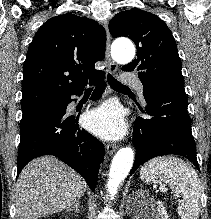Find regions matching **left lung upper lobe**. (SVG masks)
Masks as SVG:
<instances>
[{
  "mask_svg": "<svg viewBox=\"0 0 211 219\" xmlns=\"http://www.w3.org/2000/svg\"><path fill=\"white\" fill-rule=\"evenodd\" d=\"M113 37H129L137 48V58L122 67L137 71L144 88L183 87L181 61L175 39L167 25L156 15L137 8L115 15L109 24Z\"/></svg>",
  "mask_w": 211,
  "mask_h": 219,
  "instance_id": "5c2ea615",
  "label": "left lung upper lobe"
}]
</instances>
